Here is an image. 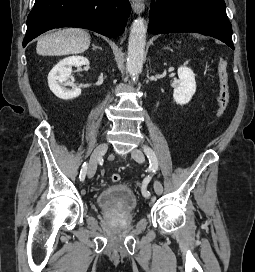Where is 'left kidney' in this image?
<instances>
[{"mask_svg":"<svg viewBox=\"0 0 255 272\" xmlns=\"http://www.w3.org/2000/svg\"><path fill=\"white\" fill-rule=\"evenodd\" d=\"M178 85L174 89L173 99L177 104L189 103L196 92L195 74L186 66L178 68Z\"/></svg>","mask_w":255,"mask_h":272,"instance_id":"obj_1","label":"left kidney"}]
</instances>
